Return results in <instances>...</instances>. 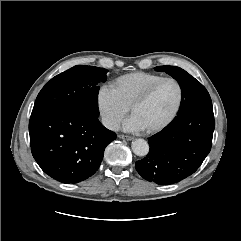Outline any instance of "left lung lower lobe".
<instances>
[{
	"label": "left lung lower lobe",
	"mask_w": 241,
	"mask_h": 241,
	"mask_svg": "<svg viewBox=\"0 0 241 241\" xmlns=\"http://www.w3.org/2000/svg\"><path fill=\"white\" fill-rule=\"evenodd\" d=\"M215 128L213 108H203L173 120L150 137L147 156L135 164L147 181L177 183L192 175L211 150Z\"/></svg>",
	"instance_id": "1"
}]
</instances>
